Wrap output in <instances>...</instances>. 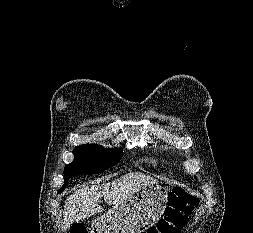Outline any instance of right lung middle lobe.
Here are the masks:
<instances>
[{
	"label": "right lung middle lobe",
	"mask_w": 253,
	"mask_h": 233,
	"mask_svg": "<svg viewBox=\"0 0 253 233\" xmlns=\"http://www.w3.org/2000/svg\"><path fill=\"white\" fill-rule=\"evenodd\" d=\"M121 157V149H104L94 144L77 146L74 161L64 169V183L77 175L100 173L117 164Z\"/></svg>",
	"instance_id": "dd1d6c3e"
}]
</instances>
